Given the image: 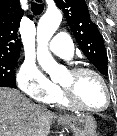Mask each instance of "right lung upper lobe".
Wrapping results in <instances>:
<instances>
[{
    "label": "right lung upper lobe",
    "mask_w": 117,
    "mask_h": 136,
    "mask_svg": "<svg viewBox=\"0 0 117 136\" xmlns=\"http://www.w3.org/2000/svg\"><path fill=\"white\" fill-rule=\"evenodd\" d=\"M22 16L19 0H0V58H19Z\"/></svg>",
    "instance_id": "cb5924a9"
}]
</instances>
